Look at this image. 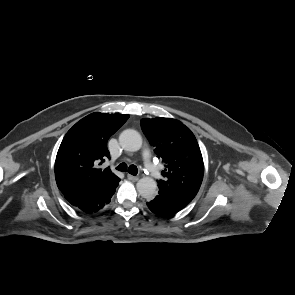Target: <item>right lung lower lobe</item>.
Masks as SVG:
<instances>
[{"instance_id": "right-lung-lower-lobe-1", "label": "right lung lower lobe", "mask_w": 295, "mask_h": 295, "mask_svg": "<svg viewBox=\"0 0 295 295\" xmlns=\"http://www.w3.org/2000/svg\"><path fill=\"white\" fill-rule=\"evenodd\" d=\"M119 182L120 179L115 177L90 193L65 198L71 205L84 213H96L110 202Z\"/></svg>"}]
</instances>
